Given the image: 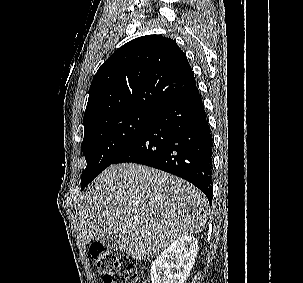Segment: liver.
<instances>
[{"instance_id": "6515ba94", "label": "liver", "mask_w": 303, "mask_h": 283, "mask_svg": "<svg viewBox=\"0 0 303 283\" xmlns=\"http://www.w3.org/2000/svg\"><path fill=\"white\" fill-rule=\"evenodd\" d=\"M75 217L83 245L115 235L122 252L146 260L178 238L201 232L207 199L176 176L123 163L108 167L81 194Z\"/></svg>"}]
</instances>
